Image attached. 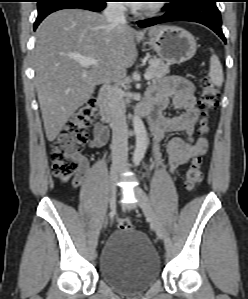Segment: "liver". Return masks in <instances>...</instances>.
<instances>
[{"label": "liver", "mask_w": 248, "mask_h": 299, "mask_svg": "<svg viewBox=\"0 0 248 299\" xmlns=\"http://www.w3.org/2000/svg\"><path fill=\"white\" fill-rule=\"evenodd\" d=\"M160 28H150L149 36ZM75 56L94 58L98 64L82 67ZM136 58L134 30L126 24H110L104 15L81 9H64L46 17L36 31L33 63L48 141L56 139L97 85L112 74L125 75Z\"/></svg>", "instance_id": "liver-1"}]
</instances>
